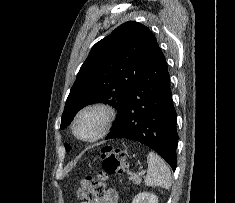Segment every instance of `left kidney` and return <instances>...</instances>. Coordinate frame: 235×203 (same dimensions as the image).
<instances>
[{"mask_svg":"<svg viewBox=\"0 0 235 203\" xmlns=\"http://www.w3.org/2000/svg\"><path fill=\"white\" fill-rule=\"evenodd\" d=\"M132 203H158V197L150 192H141L133 198Z\"/></svg>","mask_w":235,"mask_h":203,"instance_id":"left-kidney-1","label":"left kidney"}]
</instances>
